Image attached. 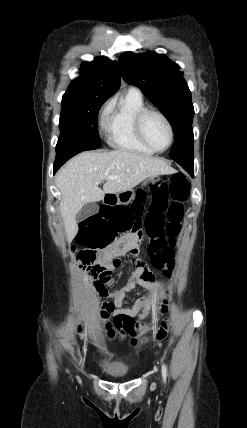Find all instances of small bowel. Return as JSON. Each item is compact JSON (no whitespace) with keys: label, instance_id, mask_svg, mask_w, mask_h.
<instances>
[{"label":"small bowel","instance_id":"c3829d8e","mask_svg":"<svg viewBox=\"0 0 247 428\" xmlns=\"http://www.w3.org/2000/svg\"><path fill=\"white\" fill-rule=\"evenodd\" d=\"M132 208V207H131ZM142 235L137 233L127 234L121 239H118L116 242H114L112 245H110L102 254L103 258L107 261H112L114 259H119L122 255L126 254L128 251H132L135 253V250H137L138 245L141 242ZM114 284L113 279H111L107 286H112ZM137 286L155 289L158 288V284L153 282V274L149 270L148 266L141 262L138 264L137 268L131 273L128 281L126 284L121 286L120 288H117L111 293V296L113 297V302L108 304L109 312L114 317H125L130 318L139 313V320H144L150 310L151 306L147 302L145 305H134L130 309H123V302L125 299V296L128 292L136 288ZM144 300V299H139ZM139 324V323H138ZM141 324V323H140ZM139 326V325H138Z\"/></svg>","mask_w":247,"mask_h":428}]
</instances>
